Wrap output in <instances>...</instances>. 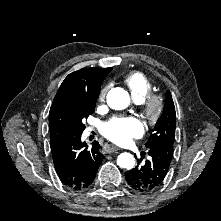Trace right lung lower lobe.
<instances>
[{
    "label": "right lung lower lobe",
    "mask_w": 221,
    "mask_h": 221,
    "mask_svg": "<svg viewBox=\"0 0 221 221\" xmlns=\"http://www.w3.org/2000/svg\"><path fill=\"white\" fill-rule=\"evenodd\" d=\"M56 173L64 186L73 190L89 187L104 158L99 143L93 142L88 149L80 135L64 138L51 146Z\"/></svg>",
    "instance_id": "1"
}]
</instances>
